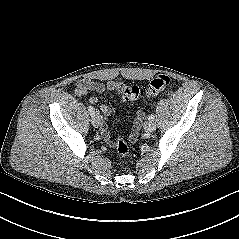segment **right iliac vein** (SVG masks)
I'll return each instance as SVG.
<instances>
[{
  "mask_svg": "<svg viewBox=\"0 0 239 239\" xmlns=\"http://www.w3.org/2000/svg\"><path fill=\"white\" fill-rule=\"evenodd\" d=\"M91 123L94 127L98 128L101 125V116L99 113L92 115Z\"/></svg>",
  "mask_w": 239,
  "mask_h": 239,
  "instance_id": "obj_1",
  "label": "right iliac vein"
}]
</instances>
